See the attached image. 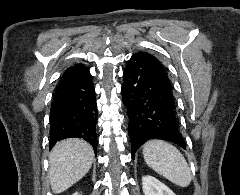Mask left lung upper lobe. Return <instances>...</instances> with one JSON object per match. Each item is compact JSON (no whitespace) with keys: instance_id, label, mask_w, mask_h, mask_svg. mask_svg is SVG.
Returning a JSON list of instances; mask_svg holds the SVG:
<instances>
[{"instance_id":"obj_1","label":"left lung upper lobe","mask_w":240,"mask_h":195,"mask_svg":"<svg viewBox=\"0 0 240 195\" xmlns=\"http://www.w3.org/2000/svg\"><path fill=\"white\" fill-rule=\"evenodd\" d=\"M139 54H144V55H147L148 57H152V58H155L153 55L151 54H148V53H144V52H139Z\"/></svg>"}]
</instances>
